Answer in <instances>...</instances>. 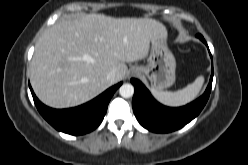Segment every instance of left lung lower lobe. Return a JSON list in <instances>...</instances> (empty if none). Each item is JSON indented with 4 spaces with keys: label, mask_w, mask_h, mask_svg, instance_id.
Listing matches in <instances>:
<instances>
[{
    "label": "left lung lower lobe",
    "mask_w": 248,
    "mask_h": 165,
    "mask_svg": "<svg viewBox=\"0 0 248 165\" xmlns=\"http://www.w3.org/2000/svg\"><path fill=\"white\" fill-rule=\"evenodd\" d=\"M197 37L207 45L201 34H198ZM212 80L213 66L209 84L201 97L186 106L170 108L158 103L139 80L131 79V83L135 87L132 100L134 114L138 122L149 131L168 133L178 130L201 112L209 98Z\"/></svg>",
    "instance_id": "left-lung-lower-lobe-1"
}]
</instances>
